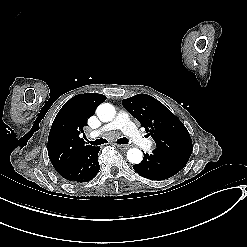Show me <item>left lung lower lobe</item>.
<instances>
[{"mask_svg":"<svg viewBox=\"0 0 247 247\" xmlns=\"http://www.w3.org/2000/svg\"><path fill=\"white\" fill-rule=\"evenodd\" d=\"M187 162L165 153L161 150H153V154H144L141 163L133 165V169L151 180H165L178 173Z\"/></svg>","mask_w":247,"mask_h":247,"instance_id":"0a47b994","label":"left lung lower lobe"}]
</instances>
